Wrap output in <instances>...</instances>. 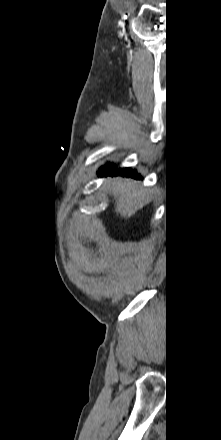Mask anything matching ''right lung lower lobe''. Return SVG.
I'll return each mask as SVG.
<instances>
[{
	"mask_svg": "<svg viewBox=\"0 0 221 440\" xmlns=\"http://www.w3.org/2000/svg\"><path fill=\"white\" fill-rule=\"evenodd\" d=\"M122 175V176H131L133 178L140 179V174H137L136 171H132L130 168H120V169H114L112 164H107L106 166H102L99 171L98 175Z\"/></svg>",
	"mask_w": 221,
	"mask_h": 440,
	"instance_id": "98d812e1",
	"label": "right lung lower lobe"
}]
</instances>
